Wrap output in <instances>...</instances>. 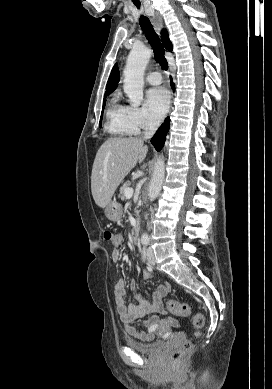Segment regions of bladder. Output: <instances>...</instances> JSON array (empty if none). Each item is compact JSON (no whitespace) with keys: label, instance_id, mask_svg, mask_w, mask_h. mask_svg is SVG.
<instances>
[{"label":"bladder","instance_id":"bladder-1","mask_svg":"<svg viewBox=\"0 0 272 389\" xmlns=\"http://www.w3.org/2000/svg\"><path fill=\"white\" fill-rule=\"evenodd\" d=\"M125 343L131 349L146 355H157L165 348V342L161 340L142 343L126 338Z\"/></svg>","mask_w":272,"mask_h":389}]
</instances>
